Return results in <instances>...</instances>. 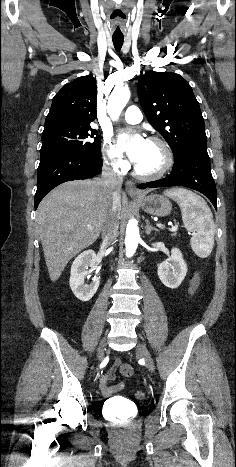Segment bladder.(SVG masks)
<instances>
[{
    "mask_svg": "<svg viewBox=\"0 0 236 467\" xmlns=\"http://www.w3.org/2000/svg\"><path fill=\"white\" fill-rule=\"evenodd\" d=\"M111 401L114 402V404H112L110 407L104 406V410L107 412L108 415H110L111 412L113 410L117 409V408L124 409L126 412H129L130 409L137 408L136 405H128V404H124V403H119V402H116L115 400H111ZM118 425H120V426L127 425V420L119 421Z\"/></svg>",
    "mask_w": 236,
    "mask_h": 467,
    "instance_id": "31cf9c89",
    "label": "bladder"
}]
</instances>
